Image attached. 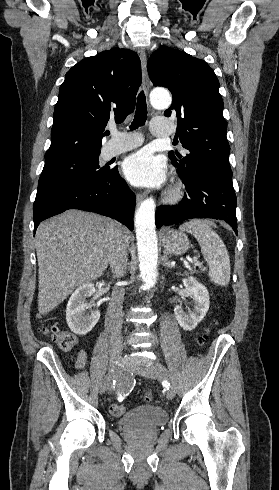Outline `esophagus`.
<instances>
[{"mask_svg": "<svg viewBox=\"0 0 279 490\" xmlns=\"http://www.w3.org/2000/svg\"><path fill=\"white\" fill-rule=\"evenodd\" d=\"M139 56L141 60V68H142V84L145 95L147 96L150 89L149 76L147 72V58L144 50H139ZM145 199L144 195L137 194L136 196V204L140 205Z\"/></svg>", "mask_w": 279, "mask_h": 490, "instance_id": "34e87169", "label": "esophagus"}]
</instances>
